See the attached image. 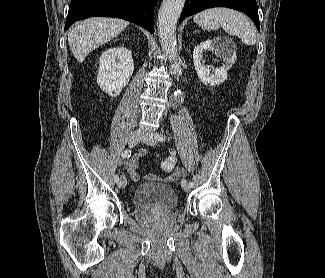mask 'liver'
<instances>
[{"label": "liver", "mask_w": 325, "mask_h": 278, "mask_svg": "<svg viewBox=\"0 0 325 278\" xmlns=\"http://www.w3.org/2000/svg\"><path fill=\"white\" fill-rule=\"evenodd\" d=\"M128 25V21L107 17H94L80 22L68 33L74 57L82 63L93 49L116 37Z\"/></svg>", "instance_id": "liver-1"}]
</instances>
